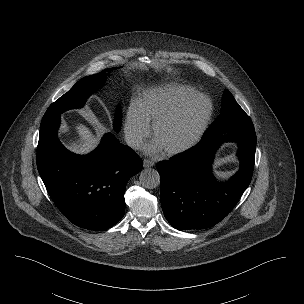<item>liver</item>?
Here are the masks:
<instances>
[{"instance_id": "liver-1", "label": "liver", "mask_w": 304, "mask_h": 304, "mask_svg": "<svg viewBox=\"0 0 304 304\" xmlns=\"http://www.w3.org/2000/svg\"><path fill=\"white\" fill-rule=\"evenodd\" d=\"M78 139L69 141L67 148L77 154H86L94 149L100 141V134H93L92 131L82 123L75 125Z\"/></svg>"}]
</instances>
